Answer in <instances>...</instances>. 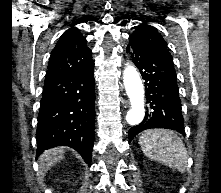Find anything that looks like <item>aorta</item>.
<instances>
[{
    "label": "aorta",
    "mask_w": 221,
    "mask_h": 193,
    "mask_svg": "<svg viewBox=\"0 0 221 193\" xmlns=\"http://www.w3.org/2000/svg\"><path fill=\"white\" fill-rule=\"evenodd\" d=\"M123 81L131 104V108L126 115V121L130 125H138L145 115L144 88L134 66L127 64L123 72Z\"/></svg>",
    "instance_id": "aorta-1"
}]
</instances>
